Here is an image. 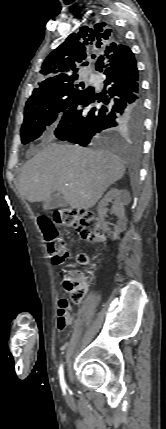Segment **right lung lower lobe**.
<instances>
[{
	"label": "right lung lower lobe",
	"instance_id": "right-lung-lower-lobe-1",
	"mask_svg": "<svg viewBox=\"0 0 166 429\" xmlns=\"http://www.w3.org/2000/svg\"><path fill=\"white\" fill-rule=\"evenodd\" d=\"M95 68L104 74V89L95 93L93 87L83 88L62 114L55 136L87 146L98 144L110 131L128 129L140 135L144 110L137 63L130 48L123 45L112 54L102 55ZM94 102L99 105L93 106Z\"/></svg>",
	"mask_w": 166,
	"mask_h": 429
}]
</instances>
